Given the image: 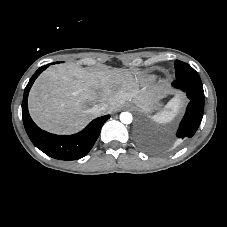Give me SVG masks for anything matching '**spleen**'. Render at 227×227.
Here are the masks:
<instances>
[{"label":"spleen","mask_w":227,"mask_h":227,"mask_svg":"<svg viewBox=\"0 0 227 227\" xmlns=\"http://www.w3.org/2000/svg\"><path fill=\"white\" fill-rule=\"evenodd\" d=\"M179 109H180V102L177 99H175L174 101L170 102L167 105L165 110L154 115L152 117V120L157 123H168L177 115Z\"/></svg>","instance_id":"3e777b00"}]
</instances>
